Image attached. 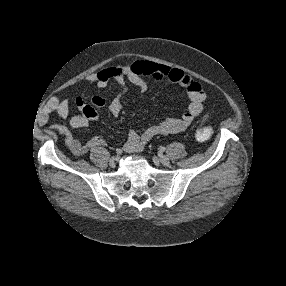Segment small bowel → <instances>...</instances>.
Returning <instances> with one entry per match:
<instances>
[{
  "instance_id": "c3829d8e",
  "label": "small bowel",
  "mask_w": 286,
  "mask_h": 286,
  "mask_svg": "<svg viewBox=\"0 0 286 286\" xmlns=\"http://www.w3.org/2000/svg\"><path fill=\"white\" fill-rule=\"evenodd\" d=\"M147 77L157 81H169L183 87L187 93L189 103L187 110L180 117H167L147 127L142 133L135 130L129 132L123 149L128 153L141 151L155 136L174 134L187 129L191 123L203 112L206 94L201 85L181 69L159 65L148 61H135L132 64H121L107 67L99 72L90 74L86 82L104 88L110 81H116L120 86V93L110 102L108 110L111 115L118 116L122 110V97L127 89V82L144 92L148 89ZM75 104L79 113L71 117L70 124L75 128H82L90 122L97 121V108L105 105V100L94 96L88 104L80 96H76ZM70 110L69 102L55 99L49 104V112L65 118ZM54 130L64 135L66 148L75 156L86 153L89 147L102 146L105 140L101 136H91L85 142L75 137L65 126L55 125Z\"/></svg>"
}]
</instances>
